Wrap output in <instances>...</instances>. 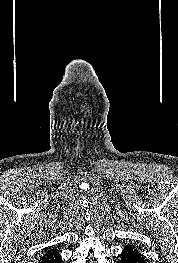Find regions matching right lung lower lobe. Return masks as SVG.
Wrapping results in <instances>:
<instances>
[{"instance_id": "1", "label": "right lung lower lobe", "mask_w": 178, "mask_h": 263, "mask_svg": "<svg viewBox=\"0 0 178 263\" xmlns=\"http://www.w3.org/2000/svg\"><path fill=\"white\" fill-rule=\"evenodd\" d=\"M39 263H63L58 251H55L39 260Z\"/></svg>"}]
</instances>
